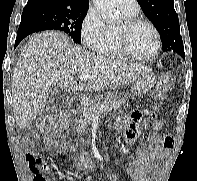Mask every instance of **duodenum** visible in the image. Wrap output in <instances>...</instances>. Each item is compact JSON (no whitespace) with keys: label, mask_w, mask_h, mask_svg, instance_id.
Here are the masks:
<instances>
[{"label":"duodenum","mask_w":197,"mask_h":181,"mask_svg":"<svg viewBox=\"0 0 197 181\" xmlns=\"http://www.w3.org/2000/svg\"><path fill=\"white\" fill-rule=\"evenodd\" d=\"M70 110L73 113L79 112L81 110V102L79 100H76V99L72 100L70 102Z\"/></svg>","instance_id":"duodenum-1"}]
</instances>
